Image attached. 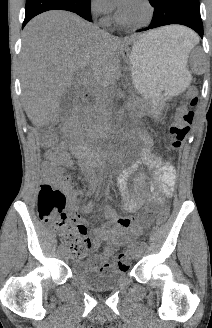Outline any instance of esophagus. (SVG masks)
Listing matches in <instances>:
<instances>
[{"label": "esophagus", "instance_id": "esophagus-1", "mask_svg": "<svg viewBox=\"0 0 212 328\" xmlns=\"http://www.w3.org/2000/svg\"><path fill=\"white\" fill-rule=\"evenodd\" d=\"M120 39H121V40L123 39L122 35H120Z\"/></svg>", "mask_w": 212, "mask_h": 328}]
</instances>
